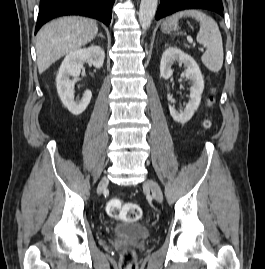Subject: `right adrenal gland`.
I'll return each instance as SVG.
<instances>
[{"instance_id":"obj_1","label":"right adrenal gland","mask_w":265,"mask_h":269,"mask_svg":"<svg viewBox=\"0 0 265 269\" xmlns=\"http://www.w3.org/2000/svg\"><path fill=\"white\" fill-rule=\"evenodd\" d=\"M98 37H101V38L104 39V36H103L102 32L99 33Z\"/></svg>"}]
</instances>
